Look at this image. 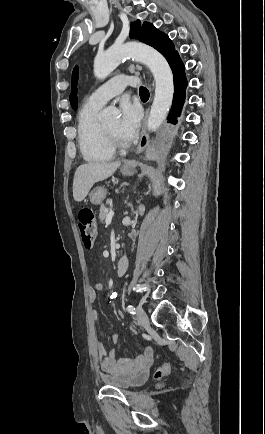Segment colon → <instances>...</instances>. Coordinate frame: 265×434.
<instances>
[{"instance_id": "5ec220e1", "label": "colon", "mask_w": 265, "mask_h": 434, "mask_svg": "<svg viewBox=\"0 0 265 434\" xmlns=\"http://www.w3.org/2000/svg\"><path fill=\"white\" fill-rule=\"evenodd\" d=\"M77 222L83 246L85 248H92L95 244V239L97 236L96 218L94 212L88 208L82 209L77 213ZM170 371L171 364L167 362L157 367L153 371L152 376L154 379L159 380L169 374Z\"/></svg>"}]
</instances>
